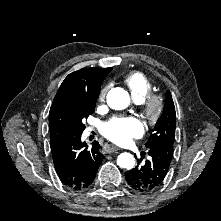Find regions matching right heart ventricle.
<instances>
[{
	"label": "right heart ventricle",
	"mask_w": 221,
	"mask_h": 221,
	"mask_svg": "<svg viewBox=\"0 0 221 221\" xmlns=\"http://www.w3.org/2000/svg\"><path fill=\"white\" fill-rule=\"evenodd\" d=\"M123 82L129 89L131 97L140 103L144 102L153 90L151 79L142 71L128 73Z\"/></svg>",
	"instance_id": "1"
}]
</instances>
